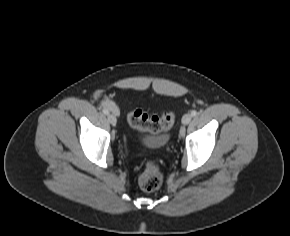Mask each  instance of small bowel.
Masks as SVG:
<instances>
[{"mask_svg": "<svg viewBox=\"0 0 290 236\" xmlns=\"http://www.w3.org/2000/svg\"><path fill=\"white\" fill-rule=\"evenodd\" d=\"M103 106H105L106 108H108L109 110H111L114 113L117 112V106L109 100L104 101Z\"/></svg>", "mask_w": 290, "mask_h": 236, "instance_id": "1", "label": "small bowel"}]
</instances>
